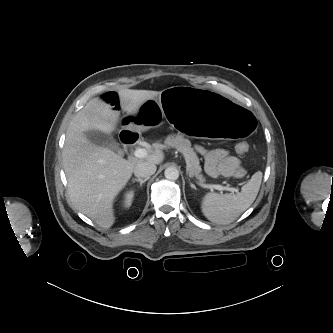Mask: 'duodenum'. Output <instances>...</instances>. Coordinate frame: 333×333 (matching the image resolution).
Here are the masks:
<instances>
[{
    "label": "duodenum",
    "mask_w": 333,
    "mask_h": 333,
    "mask_svg": "<svg viewBox=\"0 0 333 333\" xmlns=\"http://www.w3.org/2000/svg\"><path fill=\"white\" fill-rule=\"evenodd\" d=\"M121 140L127 146H134L137 143L138 137L130 131H123L121 133Z\"/></svg>",
    "instance_id": "1"
}]
</instances>
